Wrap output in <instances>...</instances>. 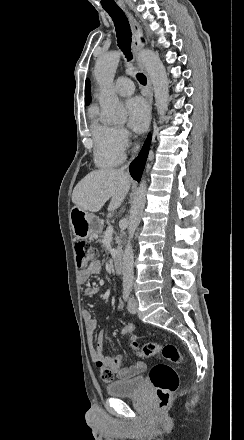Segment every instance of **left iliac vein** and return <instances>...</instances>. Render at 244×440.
<instances>
[{
    "label": "left iliac vein",
    "instance_id": "1",
    "mask_svg": "<svg viewBox=\"0 0 244 440\" xmlns=\"http://www.w3.org/2000/svg\"><path fill=\"white\" fill-rule=\"evenodd\" d=\"M127 308H128V311H129L130 313H136L137 310H138L137 299L134 298V297H131V298L129 299V302H128V306H127Z\"/></svg>",
    "mask_w": 244,
    "mask_h": 440
}]
</instances>
